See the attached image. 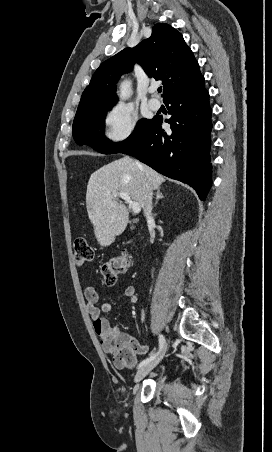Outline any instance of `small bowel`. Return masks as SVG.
Wrapping results in <instances>:
<instances>
[{
    "mask_svg": "<svg viewBox=\"0 0 272 452\" xmlns=\"http://www.w3.org/2000/svg\"><path fill=\"white\" fill-rule=\"evenodd\" d=\"M123 294L132 304H135L138 301L136 290L133 286H127L124 289ZM85 298L87 313L91 317L94 331L100 337V342L105 352L109 353L106 344L111 336H118L123 334L125 337L134 340L131 336L123 333L120 327L111 326L108 320L101 316L102 313H109L112 309V306L108 302L102 303L100 306H98L99 295L94 287H86ZM137 347L139 354H146L149 350V347L147 345L137 344Z\"/></svg>",
    "mask_w": 272,
    "mask_h": 452,
    "instance_id": "1",
    "label": "small bowel"
}]
</instances>
